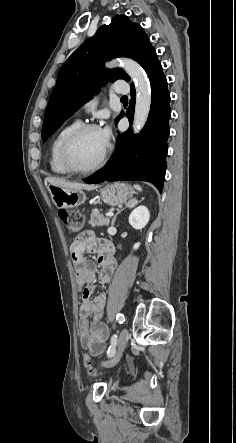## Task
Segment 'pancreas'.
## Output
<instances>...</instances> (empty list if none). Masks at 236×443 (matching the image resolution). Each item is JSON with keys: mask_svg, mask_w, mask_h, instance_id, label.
<instances>
[{"mask_svg": "<svg viewBox=\"0 0 236 443\" xmlns=\"http://www.w3.org/2000/svg\"><path fill=\"white\" fill-rule=\"evenodd\" d=\"M110 222L109 218H105L103 215L99 213L98 210H92L91 218L89 220V224L93 227L95 226H108Z\"/></svg>", "mask_w": 236, "mask_h": 443, "instance_id": "cf45deb5", "label": "pancreas"}]
</instances>
